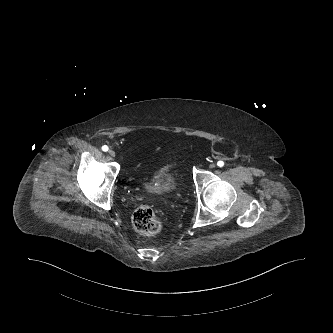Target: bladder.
I'll return each instance as SVG.
<instances>
[{
  "instance_id": "31cf9c89",
  "label": "bladder",
  "mask_w": 333,
  "mask_h": 333,
  "mask_svg": "<svg viewBox=\"0 0 333 333\" xmlns=\"http://www.w3.org/2000/svg\"><path fill=\"white\" fill-rule=\"evenodd\" d=\"M154 182L162 192H170L176 188V181L172 173L160 172L155 175Z\"/></svg>"
}]
</instances>
